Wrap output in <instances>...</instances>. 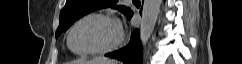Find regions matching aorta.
Returning <instances> with one entry per match:
<instances>
[{
    "mask_svg": "<svg viewBox=\"0 0 242 64\" xmlns=\"http://www.w3.org/2000/svg\"><path fill=\"white\" fill-rule=\"evenodd\" d=\"M161 2V0H144L140 26V40L143 46H146L153 34Z\"/></svg>",
    "mask_w": 242,
    "mask_h": 64,
    "instance_id": "762f6f07",
    "label": "aorta"
}]
</instances>
